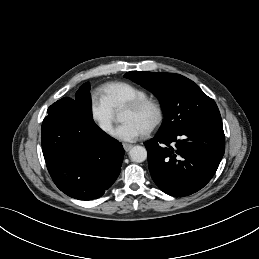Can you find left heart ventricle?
Returning <instances> with one entry per match:
<instances>
[{"label":"left heart ventricle","mask_w":259,"mask_h":259,"mask_svg":"<svg viewBox=\"0 0 259 259\" xmlns=\"http://www.w3.org/2000/svg\"><path fill=\"white\" fill-rule=\"evenodd\" d=\"M155 118V111L152 107H144L139 111L130 112V111H121L120 120L121 121H130L137 125L141 131H144Z\"/></svg>","instance_id":"b2bd125f"}]
</instances>
